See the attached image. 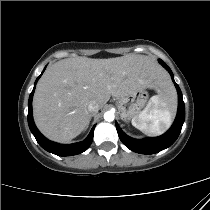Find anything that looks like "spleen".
I'll return each mask as SVG.
<instances>
[{"label":"spleen","mask_w":210,"mask_h":210,"mask_svg":"<svg viewBox=\"0 0 210 210\" xmlns=\"http://www.w3.org/2000/svg\"><path fill=\"white\" fill-rule=\"evenodd\" d=\"M173 99L174 90L170 82L164 92L151 97L146 108L132 119V125L148 136L163 134L172 123Z\"/></svg>","instance_id":"3e777b00"}]
</instances>
